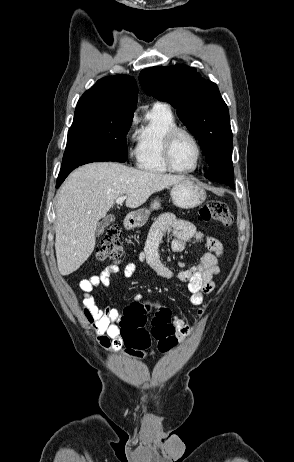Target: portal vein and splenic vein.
I'll use <instances>...</instances> for the list:
<instances>
[{
  "label": "portal vein and splenic vein",
  "instance_id": "obj_1",
  "mask_svg": "<svg viewBox=\"0 0 294 462\" xmlns=\"http://www.w3.org/2000/svg\"><path fill=\"white\" fill-rule=\"evenodd\" d=\"M125 199H126V196H120L119 198L116 199V203L122 204Z\"/></svg>",
  "mask_w": 294,
  "mask_h": 462
}]
</instances>
